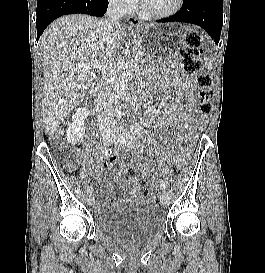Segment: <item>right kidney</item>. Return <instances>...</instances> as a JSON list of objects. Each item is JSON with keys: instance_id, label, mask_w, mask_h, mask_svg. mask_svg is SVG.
<instances>
[{"instance_id": "obj_1", "label": "right kidney", "mask_w": 265, "mask_h": 273, "mask_svg": "<svg viewBox=\"0 0 265 273\" xmlns=\"http://www.w3.org/2000/svg\"><path fill=\"white\" fill-rule=\"evenodd\" d=\"M88 112L85 108H78L72 116V122L67 128L66 138L68 143L75 145L79 143L85 134L84 121L87 118Z\"/></svg>"}]
</instances>
